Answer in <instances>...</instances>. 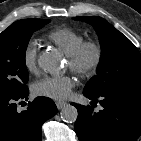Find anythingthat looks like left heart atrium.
<instances>
[{"mask_svg":"<svg viewBox=\"0 0 141 141\" xmlns=\"http://www.w3.org/2000/svg\"><path fill=\"white\" fill-rule=\"evenodd\" d=\"M73 87L74 81L69 76H44L33 84L32 90L38 96L64 100L69 97Z\"/></svg>","mask_w":141,"mask_h":141,"instance_id":"left-heart-atrium-1","label":"left heart atrium"}]
</instances>
